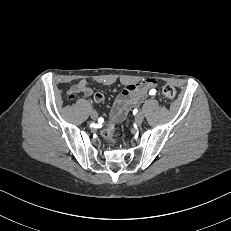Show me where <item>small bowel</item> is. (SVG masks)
Instances as JSON below:
<instances>
[{
  "label": "small bowel",
  "mask_w": 231,
  "mask_h": 231,
  "mask_svg": "<svg viewBox=\"0 0 231 231\" xmlns=\"http://www.w3.org/2000/svg\"><path fill=\"white\" fill-rule=\"evenodd\" d=\"M155 81L153 79H145L139 83L129 84L125 90L115 100L110 117L112 120H121L128 113L131 107L137 106L144 95L152 88H154ZM70 94H82L84 96H91L93 94L92 89L88 86L87 80L80 79L70 89ZM105 96L96 92L94 94V101L96 103H103Z\"/></svg>",
  "instance_id": "1"
}]
</instances>
